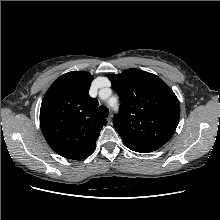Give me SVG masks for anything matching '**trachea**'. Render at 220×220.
I'll list each match as a JSON object with an SVG mask.
<instances>
[{
  "label": "trachea",
  "mask_w": 220,
  "mask_h": 220,
  "mask_svg": "<svg viewBox=\"0 0 220 220\" xmlns=\"http://www.w3.org/2000/svg\"><path fill=\"white\" fill-rule=\"evenodd\" d=\"M99 115L102 116L103 118H106L109 115V109L104 106L101 105L98 109Z\"/></svg>",
  "instance_id": "1"
}]
</instances>
